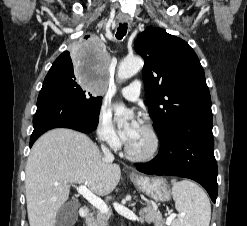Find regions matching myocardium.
<instances>
[{"mask_svg":"<svg viewBox=\"0 0 247 226\" xmlns=\"http://www.w3.org/2000/svg\"><path fill=\"white\" fill-rule=\"evenodd\" d=\"M143 127L148 131L153 141L152 148L148 153L144 155H137L129 149L127 144L124 145V151L126 156L130 160L135 162H149L154 160L157 157L161 148V139L156 129L149 123H145Z\"/></svg>","mask_w":247,"mask_h":226,"instance_id":"obj_1","label":"myocardium"}]
</instances>
